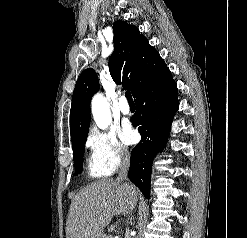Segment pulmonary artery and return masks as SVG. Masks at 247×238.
I'll list each match as a JSON object with an SVG mask.
<instances>
[{"mask_svg": "<svg viewBox=\"0 0 247 238\" xmlns=\"http://www.w3.org/2000/svg\"><path fill=\"white\" fill-rule=\"evenodd\" d=\"M119 111L124 115L130 114V107L124 96H122L119 100Z\"/></svg>", "mask_w": 247, "mask_h": 238, "instance_id": "obj_1", "label": "pulmonary artery"}]
</instances>
